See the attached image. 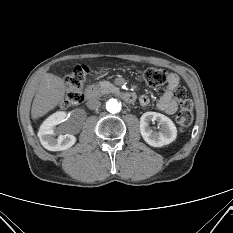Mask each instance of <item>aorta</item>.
I'll use <instances>...</instances> for the list:
<instances>
[{"mask_svg": "<svg viewBox=\"0 0 233 233\" xmlns=\"http://www.w3.org/2000/svg\"><path fill=\"white\" fill-rule=\"evenodd\" d=\"M106 109L110 113H117L121 110V104L116 99H109L106 102Z\"/></svg>", "mask_w": 233, "mask_h": 233, "instance_id": "obj_1", "label": "aorta"}]
</instances>
